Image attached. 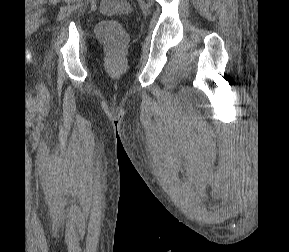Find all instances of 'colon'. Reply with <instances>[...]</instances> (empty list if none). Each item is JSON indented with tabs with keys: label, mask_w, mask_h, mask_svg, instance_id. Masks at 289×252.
Returning a JSON list of instances; mask_svg holds the SVG:
<instances>
[{
	"label": "colon",
	"mask_w": 289,
	"mask_h": 252,
	"mask_svg": "<svg viewBox=\"0 0 289 252\" xmlns=\"http://www.w3.org/2000/svg\"><path fill=\"white\" fill-rule=\"evenodd\" d=\"M131 10L126 0H101L100 11L105 15L127 14ZM99 39L104 42L117 57L127 42V33L115 20L101 21L96 28Z\"/></svg>",
	"instance_id": "colon-1"
}]
</instances>
